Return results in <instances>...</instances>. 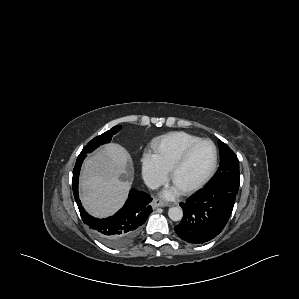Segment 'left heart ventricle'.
Masks as SVG:
<instances>
[{
    "label": "left heart ventricle",
    "instance_id": "left-heart-ventricle-1",
    "mask_svg": "<svg viewBox=\"0 0 299 299\" xmlns=\"http://www.w3.org/2000/svg\"><path fill=\"white\" fill-rule=\"evenodd\" d=\"M214 161V149L211 144L198 146L190 155L186 164L177 172L174 184L180 190L186 189L202 180L210 171Z\"/></svg>",
    "mask_w": 299,
    "mask_h": 299
}]
</instances>
